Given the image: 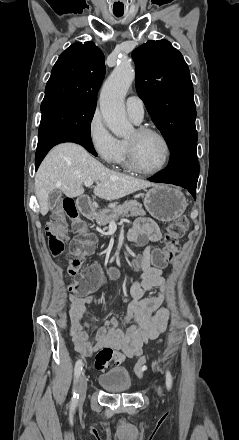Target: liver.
Instances as JSON below:
<instances>
[{
	"mask_svg": "<svg viewBox=\"0 0 239 440\" xmlns=\"http://www.w3.org/2000/svg\"><path fill=\"white\" fill-rule=\"evenodd\" d=\"M87 180L100 182L94 188V194L103 200H119L138 190L157 186L133 176L108 170L98 160L92 158L82 146L59 144L47 154L36 172L35 192L40 214L46 216L48 212L50 192L62 190L67 198H77L84 194L82 184Z\"/></svg>",
	"mask_w": 239,
	"mask_h": 440,
	"instance_id": "6515ba94",
	"label": "liver"
}]
</instances>
